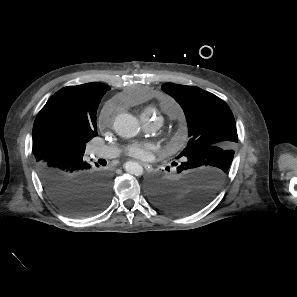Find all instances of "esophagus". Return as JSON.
Returning <instances> with one entry per match:
<instances>
[{"label": "esophagus", "mask_w": 297, "mask_h": 297, "mask_svg": "<svg viewBox=\"0 0 297 297\" xmlns=\"http://www.w3.org/2000/svg\"><path fill=\"white\" fill-rule=\"evenodd\" d=\"M147 171H151L152 168L149 164L144 163V162H139Z\"/></svg>", "instance_id": "obj_1"}]
</instances>
